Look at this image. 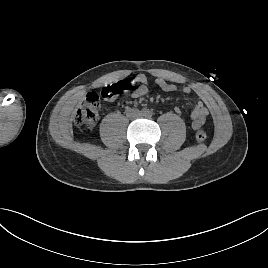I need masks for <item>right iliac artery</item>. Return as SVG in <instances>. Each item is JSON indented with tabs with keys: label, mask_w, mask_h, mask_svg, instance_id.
<instances>
[{
	"label": "right iliac artery",
	"mask_w": 268,
	"mask_h": 268,
	"mask_svg": "<svg viewBox=\"0 0 268 268\" xmlns=\"http://www.w3.org/2000/svg\"><path fill=\"white\" fill-rule=\"evenodd\" d=\"M148 113V110L146 108H143L141 110V114L146 115Z\"/></svg>",
	"instance_id": "82829eb1"
}]
</instances>
